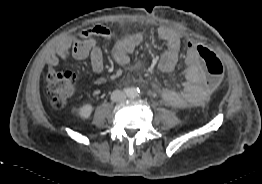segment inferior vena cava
<instances>
[{"label": "inferior vena cava", "mask_w": 262, "mask_h": 184, "mask_svg": "<svg viewBox=\"0 0 262 184\" xmlns=\"http://www.w3.org/2000/svg\"><path fill=\"white\" fill-rule=\"evenodd\" d=\"M126 99L125 93L120 90H115L111 94V100L114 102H121Z\"/></svg>", "instance_id": "obj_1"}]
</instances>
